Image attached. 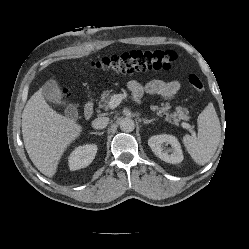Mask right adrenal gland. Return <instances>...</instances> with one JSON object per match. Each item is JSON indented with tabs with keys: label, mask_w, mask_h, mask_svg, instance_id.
Masks as SVG:
<instances>
[{
	"label": "right adrenal gland",
	"mask_w": 249,
	"mask_h": 249,
	"mask_svg": "<svg viewBox=\"0 0 249 249\" xmlns=\"http://www.w3.org/2000/svg\"><path fill=\"white\" fill-rule=\"evenodd\" d=\"M90 134H94V135H102V134H104V132H91Z\"/></svg>",
	"instance_id": "obj_1"
}]
</instances>
